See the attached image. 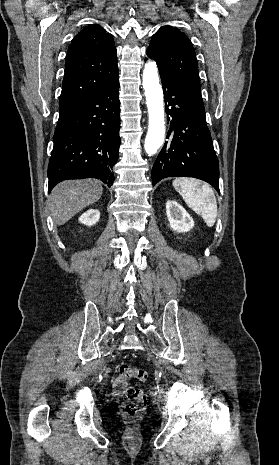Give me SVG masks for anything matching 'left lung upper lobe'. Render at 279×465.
Instances as JSON below:
<instances>
[{
	"mask_svg": "<svg viewBox=\"0 0 279 465\" xmlns=\"http://www.w3.org/2000/svg\"><path fill=\"white\" fill-rule=\"evenodd\" d=\"M147 55L157 62L160 75L203 102L195 50L184 33L171 26L161 27L153 35Z\"/></svg>",
	"mask_w": 279,
	"mask_h": 465,
	"instance_id": "1",
	"label": "left lung upper lobe"
}]
</instances>
